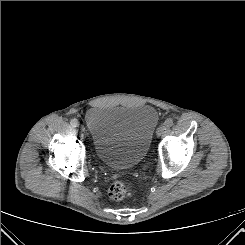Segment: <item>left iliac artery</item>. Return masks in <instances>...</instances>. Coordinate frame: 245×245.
Masks as SVG:
<instances>
[{
	"instance_id": "left-iliac-artery-1",
	"label": "left iliac artery",
	"mask_w": 245,
	"mask_h": 245,
	"mask_svg": "<svg viewBox=\"0 0 245 245\" xmlns=\"http://www.w3.org/2000/svg\"><path fill=\"white\" fill-rule=\"evenodd\" d=\"M173 125V119L172 118H167L164 122V126L166 128H170Z\"/></svg>"
}]
</instances>
